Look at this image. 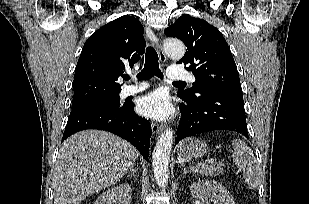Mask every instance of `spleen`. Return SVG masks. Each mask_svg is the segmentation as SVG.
Listing matches in <instances>:
<instances>
[{
	"instance_id": "obj_1",
	"label": "spleen",
	"mask_w": 309,
	"mask_h": 204,
	"mask_svg": "<svg viewBox=\"0 0 309 204\" xmlns=\"http://www.w3.org/2000/svg\"><path fill=\"white\" fill-rule=\"evenodd\" d=\"M232 158L239 169L243 171L244 180L250 189L259 185L260 168L253 151L240 139L232 142Z\"/></svg>"
}]
</instances>
